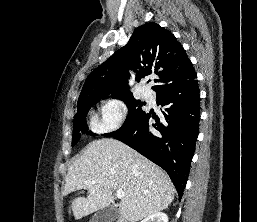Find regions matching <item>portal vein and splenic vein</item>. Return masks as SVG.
<instances>
[{"instance_id":"obj_1","label":"portal vein and splenic vein","mask_w":257,"mask_h":222,"mask_svg":"<svg viewBox=\"0 0 257 222\" xmlns=\"http://www.w3.org/2000/svg\"><path fill=\"white\" fill-rule=\"evenodd\" d=\"M92 184H95L94 181H92ZM116 195L119 199L123 198L124 197V192L120 189L116 190Z\"/></svg>"}]
</instances>
